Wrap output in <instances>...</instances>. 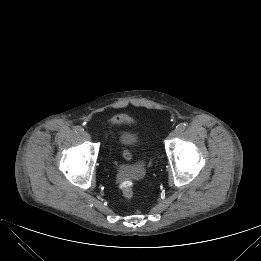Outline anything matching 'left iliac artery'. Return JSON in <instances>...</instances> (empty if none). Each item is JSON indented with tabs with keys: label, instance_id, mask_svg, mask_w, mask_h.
<instances>
[{
	"label": "left iliac artery",
	"instance_id": "1",
	"mask_svg": "<svg viewBox=\"0 0 261 261\" xmlns=\"http://www.w3.org/2000/svg\"><path fill=\"white\" fill-rule=\"evenodd\" d=\"M187 127V124L186 123H180L176 126V130L178 132H183Z\"/></svg>",
	"mask_w": 261,
	"mask_h": 261
}]
</instances>
